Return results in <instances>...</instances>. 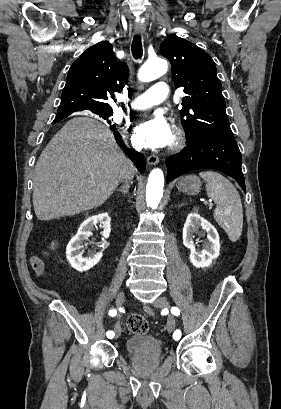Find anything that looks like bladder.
I'll list each match as a JSON object with an SVG mask.
<instances>
[{"instance_id":"31cf9c89","label":"bladder","mask_w":281,"mask_h":409,"mask_svg":"<svg viewBox=\"0 0 281 409\" xmlns=\"http://www.w3.org/2000/svg\"><path fill=\"white\" fill-rule=\"evenodd\" d=\"M123 351L132 355H163L162 341L151 333L135 334L123 342Z\"/></svg>"}]
</instances>
